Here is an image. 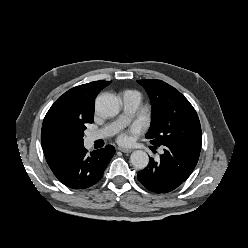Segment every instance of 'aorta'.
<instances>
[{"instance_id":"obj_1","label":"aorta","mask_w":248,"mask_h":248,"mask_svg":"<svg viewBox=\"0 0 248 248\" xmlns=\"http://www.w3.org/2000/svg\"><path fill=\"white\" fill-rule=\"evenodd\" d=\"M95 110L102 117L116 116L120 111L118 99L111 94H101L96 98ZM131 164L137 169H144L149 163V157L145 151H134L130 156Z\"/></svg>"}]
</instances>
